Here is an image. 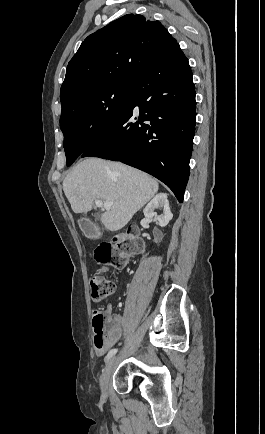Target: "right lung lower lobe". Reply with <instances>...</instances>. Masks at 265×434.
<instances>
[{
	"instance_id": "right-lung-lower-lobe-1",
	"label": "right lung lower lobe",
	"mask_w": 265,
	"mask_h": 434,
	"mask_svg": "<svg viewBox=\"0 0 265 434\" xmlns=\"http://www.w3.org/2000/svg\"><path fill=\"white\" fill-rule=\"evenodd\" d=\"M195 125L192 72L177 43L134 79L122 116L80 157L121 161L143 170L182 202Z\"/></svg>"
}]
</instances>
